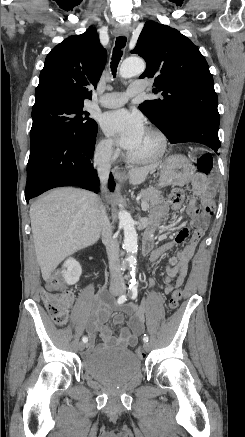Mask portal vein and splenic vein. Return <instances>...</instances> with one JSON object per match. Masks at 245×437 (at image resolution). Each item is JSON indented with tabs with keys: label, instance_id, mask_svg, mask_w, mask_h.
Instances as JSON below:
<instances>
[{
	"label": "portal vein and splenic vein",
	"instance_id": "portal-vein-and-splenic-vein-1",
	"mask_svg": "<svg viewBox=\"0 0 245 437\" xmlns=\"http://www.w3.org/2000/svg\"><path fill=\"white\" fill-rule=\"evenodd\" d=\"M140 198H141V196L139 195L137 197V201H139ZM141 207H142V210L145 211V212L148 211V209H149V206L145 202H141Z\"/></svg>",
	"mask_w": 245,
	"mask_h": 437
}]
</instances>
